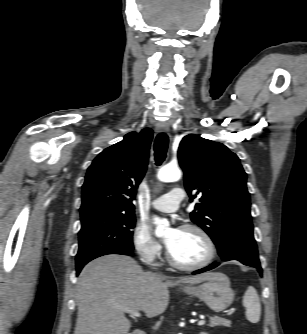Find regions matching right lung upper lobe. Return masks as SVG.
Segmentation results:
<instances>
[{"instance_id": "cb5924a9", "label": "right lung upper lobe", "mask_w": 307, "mask_h": 334, "mask_svg": "<svg viewBox=\"0 0 307 334\" xmlns=\"http://www.w3.org/2000/svg\"><path fill=\"white\" fill-rule=\"evenodd\" d=\"M152 133L149 128L130 132L94 159L82 186L81 217L134 215L132 201L147 168Z\"/></svg>"}]
</instances>
